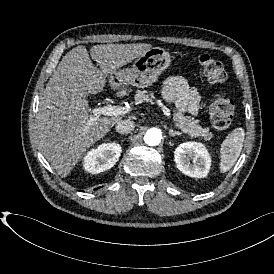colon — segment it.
Returning a JSON list of instances; mask_svg holds the SVG:
<instances>
[{
  "label": "colon",
  "mask_w": 274,
  "mask_h": 274,
  "mask_svg": "<svg viewBox=\"0 0 274 274\" xmlns=\"http://www.w3.org/2000/svg\"><path fill=\"white\" fill-rule=\"evenodd\" d=\"M198 63L209 81L214 84L226 82L227 72L219 60L209 54H201ZM234 110V104L227 93L220 90L213 93L209 113L215 128H228L233 121Z\"/></svg>",
  "instance_id": "1"
}]
</instances>
